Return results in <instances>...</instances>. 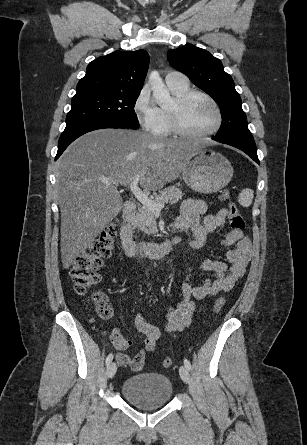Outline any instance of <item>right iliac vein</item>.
Segmentation results:
<instances>
[{"mask_svg": "<svg viewBox=\"0 0 307 445\" xmlns=\"http://www.w3.org/2000/svg\"><path fill=\"white\" fill-rule=\"evenodd\" d=\"M116 370H117L116 363L115 362L110 363L107 367V372H106L107 377L109 379L112 378L115 375Z\"/></svg>", "mask_w": 307, "mask_h": 445, "instance_id": "obj_1", "label": "right iliac vein"}]
</instances>
